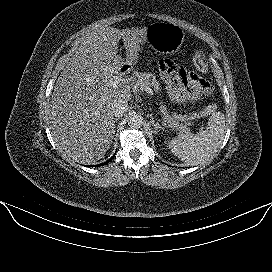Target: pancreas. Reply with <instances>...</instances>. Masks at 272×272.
<instances>
[{"mask_svg":"<svg viewBox=\"0 0 272 272\" xmlns=\"http://www.w3.org/2000/svg\"><path fill=\"white\" fill-rule=\"evenodd\" d=\"M136 87L140 90H144L146 87H152L155 91H160V82L156 79L153 74L150 73H140L138 75V80L135 83ZM160 115L162 116L165 124H167L170 128L175 129L180 132L188 131L187 125L189 122L180 123L181 121L191 120V115H177L174 114L171 116L167 112V108L165 105L161 104L160 106Z\"/></svg>","mask_w":272,"mask_h":272,"instance_id":"obj_1","label":"pancreas"}]
</instances>
